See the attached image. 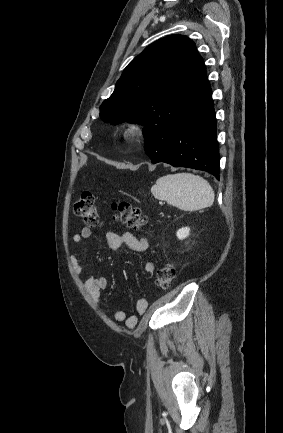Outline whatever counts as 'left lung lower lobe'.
I'll list each match as a JSON object with an SVG mask.
<instances>
[{"mask_svg":"<svg viewBox=\"0 0 283 433\" xmlns=\"http://www.w3.org/2000/svg\"><path fill=\"white\" fill-rule=\"evenodd\" d=\"M201 108L173 124L155 126L145 137V152L153 164L204 170L219 180V148L212 91L206 71L200 91Z\"/></svg>","mask_w":283,"mask_h":433,"instance_id":"obj_1","label":"left lung lower lobe"}]
</instances>
